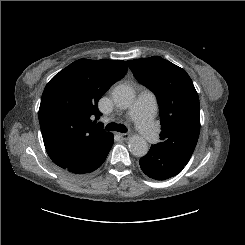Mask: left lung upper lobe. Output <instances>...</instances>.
<instances>
[{
	"mask_svg": "<svg viewBox=\"0 0 245 245\" xmlns=\"http://www.w3.org/2000/svg\"><path fill=\"white\" fill-rule=\"evenodd\" d=\"M136 79L157 97L161 119V142L153 145L187 164L200 132V105L186 71L153 56L127 61Z\"/></svg>",
	"mask_w": 245,
	"mask_h": 245,
	"instance_id": "obj_1",
	"label": "left lung upper lobe"
}]
</instances>
